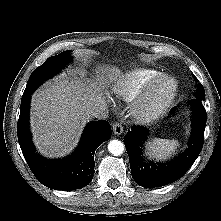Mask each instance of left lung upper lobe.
I'll use <instances>...</instances> for the list:
<instances>
[{
	"label": "left lung upper lobe",
	"instance_id": "obj_1",
	"mask_svg": "<svg viewBox=\"0 0 221 221\" xmlns=\"http://www.w3.org/2000/svg\"><path fill=\"white\" fill-rule=\"evenodd\" d=\"M196 99L203 101L205 99V92L204 88L201 84L198 85V88L196 90Z\"/></svg>",
	"mask_w": 221,
	"mask_h": 221
}]
</instances>
